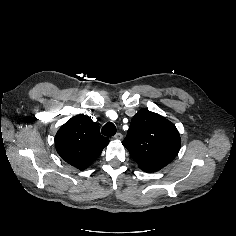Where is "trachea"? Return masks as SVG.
I'll use <instances>...</instances> for the list:
<instances>
[{"mask_svg": "<svg viewBox=\"0 0 236 236\" xmlns=\"http://www.w3.org/2000/svg\"><path fill=\"white\" fill-rule=\"evenodd\" d=\"M104 136H113L116 134V126L112 122H107L101 130Z\"/></svg>", "mask_w": 236, "mask_h": 236, "instance_id": "obj_1", "label": "trachea"}]
</instances>
